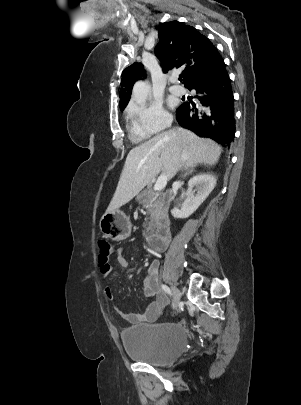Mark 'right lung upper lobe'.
<instances>
[{"instance_id":"1","label":"right lung upper lobe","mask_w":301,"mask_h":405,"mask_svg":"<svg viewBox=\"0 0 301 405\" xmlns=\"http://www.w3.org/2000/svg\"><path fill=\"white\" fill-rule=\"evenodd\" d=\"M159 44L155 55L162 63L163 72L183 68L184 85L212 74L223 62L221 55L210 40L194 27L178 21L164 23L158 30ZM145 74L141 63H133L122 73L120 109L127 105L134 82Z\"/></svg>"}]
</instances>
